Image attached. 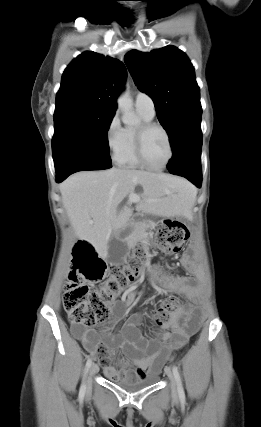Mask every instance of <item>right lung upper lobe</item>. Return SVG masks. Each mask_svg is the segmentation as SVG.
<instances>
[{
	"instance_id": "obj_1",
	"label": "right lung upper lobe",
	"mask_w": 261,
	"mask_h": 427,
	"mask_svg": "<svg viewBox=\"0 0 261 427\" xmlns=\"http://www.w3.org/2000/svg\"><path fill=\"white\" fill-rule=\"evenodd\" d=\"M126 68L115 58L87 51L65 69L56 95V110L89 107L115 112Z\"/></svg>"
}]
</instances>
